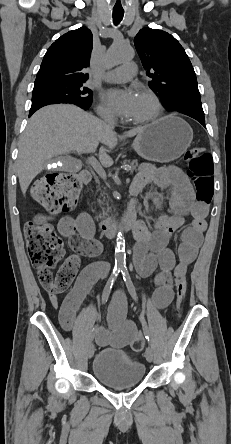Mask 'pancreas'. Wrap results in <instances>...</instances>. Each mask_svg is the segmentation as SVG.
<instances>
[{
	"label": "pancreas",
	"mask_w": 231,
	"mask_h": 444,
	"mask_svg": "<svg viewBox=\"0 0 231 444\" xmlns=\"http://www.w3.org/2000/svg\"><path fill=\"white\" fill-rule=\"evenodd\" d=\"M124 166H126L127 168L131 169V170H135L138 167V162L137 160H128L124 162Z\"/></svg>",
	"instance_id": "pancreas-1"
}]
</instances>
